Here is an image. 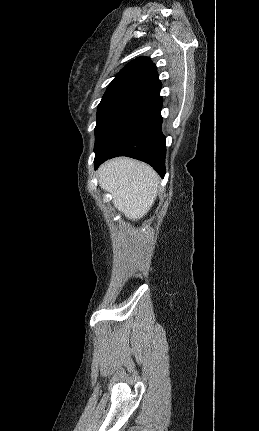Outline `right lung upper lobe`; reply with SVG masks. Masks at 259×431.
I'll list each match as a JSON object with an SVG mask.
<instances>
[{
    "mask_svg": "<svg viewBox=\"0 0 259 431\" xmlns=\"http://www.w3.org/2000/svg\"><path fill=\"white\" fill-rule=\"evenodd\" d=\"M130 83H137L151 90L152 93L161 89L157 68L149 57H139L129 62L115 76L107 91L116 90Z\"/></svg>",
    "mask_w": 259,
    "mask_h": 431,
    "instance_id": "cb5924a9",
    "label": "right lung upper lobe"
}]
</instances>
